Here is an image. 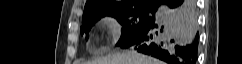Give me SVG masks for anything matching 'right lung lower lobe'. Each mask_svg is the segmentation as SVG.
<instances>
[{
  "mask_svg": "<svg viewBox=\"0 0 242 64\" xmlns=\"http://www.w3.org/2000/svg\"><path fill=\"white\" fill-rule=\"evenodd\" d=\"M155 22L128 47L168 64H196L198 25L194 0H160Z\"/></svg>",
  "mask_w": 242,
  "mask_h": 64,
  "instance_id": "right-lung-lower-lobe-1",
  "label": "right lung lower lobe"
}]
</instances>
